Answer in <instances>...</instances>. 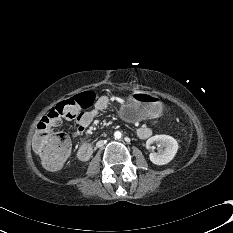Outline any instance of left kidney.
Returning a JSON list of instances; mask_svg holds the SVG:
<instances>
[{"instance_id":"left-kidney-1","label":"left kidney","mask_w":233,"mask_h":233,"mask_svg":"<svg viewBox=\"0 0 233 233\" xmlns=\"http://www.w3.org/2000/svg\"><path fill=\"white\" fill-rule=\"evenodd\" d=\"M154 142L161 143L164 150H160L159 153H150V161L155 165H165L169 163L174 158L178 150V143L176 139L169 135H155L147 140L146 148L150 149Z\"/></svg>"}]
</instances>
